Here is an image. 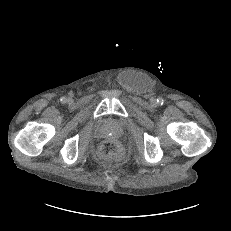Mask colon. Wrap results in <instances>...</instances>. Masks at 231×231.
<instances>
[{"mask_svg": "<svg viewBox=\"0 0 231 231\" xmlns=\"http://www.w3.org/2000/svg\"><path fill=\"white\" fill-rule=\"evenodd\" d=\"M99 153L102 158L112 160L118 156L119 150L114 141L106 140L100 145Z\"/></svg>", "mask_w": 231, "mask_h": 231, "instance_id": "colon-1", "label": "colon"}]
</instances>
